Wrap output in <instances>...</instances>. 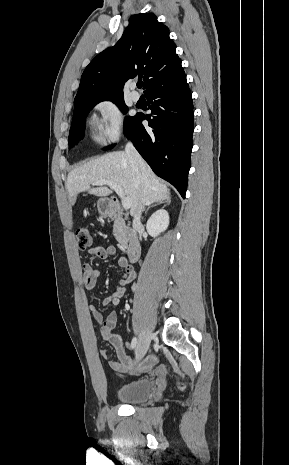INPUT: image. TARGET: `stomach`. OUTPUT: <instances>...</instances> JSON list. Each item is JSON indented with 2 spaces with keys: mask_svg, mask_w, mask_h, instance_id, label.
I'll list each match as a JSON object with an SVG mask.
<instances>
[{
  "mask_svg": "<svg viewBox=\"0 0 289 465\" xmlns=\"http://www.w3.org/2000/svg\"><path fill=\"white\" fill-rule=\"evenodd\" d=\"M98 212L101 215H106L110 212L109 200L106 198H100L97 202Z\"/></svg>",
  "mask_w": 289,
  "mask_h": 465,
  "instance_id": "obj_1",
  "label": "stomach"
}]
</instances>
